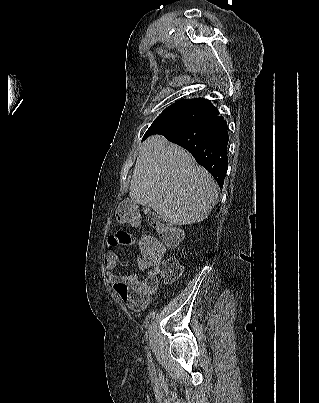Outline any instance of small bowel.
Returning a JSON list of instances; mask_svg holds the SVG:
<instances>
[{
    "label": "small bowel",
    "mask_w": 319,
    "mask_h": 403,
    "mask_svg": "<svg viewBox=\"0 0 319 403\" xmlns=\"http://www.w3.org/2000/svg\"><path fill=\"white\" fill-rule=\"evenodd\" d=\"M109 247L106 252L104 266L107 277L112 280V286L117 287V301H125V309H146L147 300H151L150 285L147 279H140V275L150 268L157 270L155 261L149 260L144 254L138 258V271L133 274H115L120 261L117 253L112 249H138V236L133 229H112L109 232Z\"/></svg>",
    "instance_id": "c3829d8e"
}]
</instances>
